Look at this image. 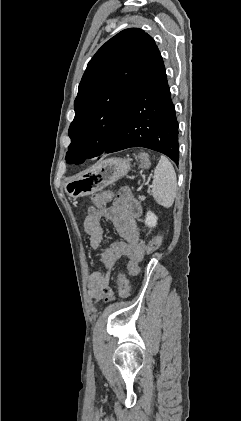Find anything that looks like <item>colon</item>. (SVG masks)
I'll return each mask as SVG.
<instances>
[{"instance_id": "5ec220e1", "label": "colon", "mask_w": 241, "mask_h": 421, "mask_svg": "<svg viewBox=\"0 0 241 421\" xmlns=\"http://www.w3.org/2000/svg\"><path fill=\"white\" fill-rule=\"evenodd\" d=\"M141 163L142 165L147 164V159L145 157H141ZM114 197V193L110 190L103 191L101 193H97L92 197V202L96 206H104L107 203H109ZM162 244V236L160 234H157L154 236L149 243L146 246V254H152ZM127 272L129 275H137L139 273V262L136 260H129L127 265ZM117 288L119 291V294L122 297H128L130 294V286L129 281L125 274L120 273L117 276Z\"/></svg>"}]
</instances>
